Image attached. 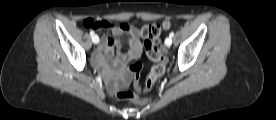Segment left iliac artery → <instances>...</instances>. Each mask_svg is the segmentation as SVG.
<instances>
[{"label":"left iliac artery","mask_w":276,"mask_h":120,"mask_svg":"<svg viewBox=\"0 0 276 120\" xmlns=\"http://www.w3.org/2000/svg\"><path fill=\"white\" fill-rule=\"evenodd\" d=\"M174 36V32H171L170 34H169V37H173ZM166 45V44H165Z\"/></svg>","instance_id":"left-iliac-artery-1"}]
</instances>
